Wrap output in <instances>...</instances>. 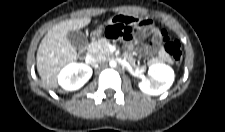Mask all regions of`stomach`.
<instances>
[{
    "label": "stomach",
    "mask_w": 225,
    "mask_h": 132,
    "mask_svg": "<svg viewBox=\"0 0 225 132\" xmlns=\"http://www.w3.org/2000/svg\"><path fill=\"white\" fill-rule=\"evenodd\" d=\"M102 33H103V29L100 28V29H97V30H95V31L93 32V36H94V37H99V36H101Z\"/></svg>",
    "instance_id": "stomach-1"
}]
</instances>
